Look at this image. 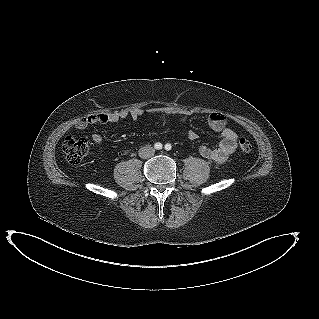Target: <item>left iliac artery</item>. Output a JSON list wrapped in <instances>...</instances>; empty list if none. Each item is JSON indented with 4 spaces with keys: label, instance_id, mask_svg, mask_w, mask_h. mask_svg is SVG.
Returning <instances> with one entry per match:
<instances>
[{
    "label": "left iliac artery",
    "instance_id": "left-iliac-artery-1",
    "mask_svg": "<svg viewBox=\"0 0 319 319\" xmlns=\"http://www.w3.org/2000/svg\"><path fill=\"white\" fill-rule=\"evenodd\" d=\"M171 148H172L171 144L167 143L165 145V150L169 151V150H171Z\"/></svg>",
    "mask_w": 319,
    "mask_h": 319
}]
</instances>
